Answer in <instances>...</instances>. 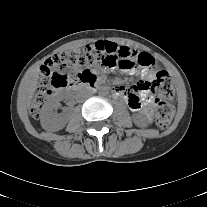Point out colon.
I'll list each match as a JSON object with an SVG mask.
<instances>
[{"mask_svg":"<svg viewBox=\"0 0 207 207\" xmlns=\"http://www.w3.org/2000/svg\"><path fill=\"white\" fill-rule=\"evenodd\" d=\"M158 61L154 55L139 53L136 49L118 46L113 42L98 41L81 48L61 51L52 55L42 66L40 79L34 93L31 105V114L37 118L40 109L51 94L52 87H65L69 83L68 77L63 71L72 66L96 67L101 69L135 68L138 70H154ZM82 79H94V75L86 71L77 81ZM149 89L156 95V124L165 129L172 121L174 106L172 99L175 89L169 73L165 70H157L155 78L149 82Z\"/></svg>","mask_w":207,"mask_h":207,"instance_id":"5ec220e1","label":"colon"}]
</instances>
